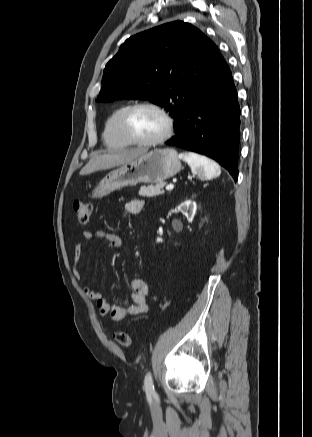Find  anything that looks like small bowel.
<instances>
[{"mask_svg":"<svg viewBox=\"0 0 312 437\" xmlns=\"http://www.w3.org/2000/svg\"><path fill=\"white\" fill-rule=\"evenodd\" d=\"M144 206L141 199H133L126 203L125 211L129 214L139 213ZM85 238L91 240L92 238L104 239L108 242L110 247L118 248L122 245V238L111 232L105 230H98L94 233L86 232ZM82 251V244L78 243L75 247L76 261L74 265V274L77 279H80V273L77 268V261ZM131 295L130 299L121 305L110 304L104 295L97 290L89 287H84V291L89 299L96 302L99 314L104 317H109L114 321H121L128 315H138L146 313L149 306L146 302V296L149 293L147 282L140 277L133 278L131 281Z\"/></svg>","mask_w":312,"mask_h":437,"instance_id":"small-bowel-1","label":"small bowel"}]
</instances>
